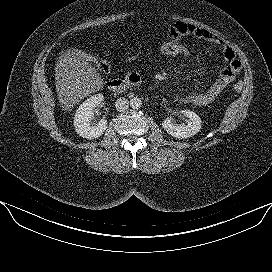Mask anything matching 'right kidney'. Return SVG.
Segmentation results:
<instances>
[{
    "label": "right kidney",
    "mask_w": 272,
    "mask_h": 272,
    "mask_svg": "<svg viewBox=\"0 0 272 272\" xmlns=\"http://www.w3.org/2000/svg\"><path fill=\"white\" fill-rule=\"evenodd\" d=\"M103 101L102 94H95L85 100L76 110L74 126L79 136L86 139H96L103 135L107 129V120L101 119L98 123L93 122L96 107Z\"/></svg>",
    "instance_id": "1"
}]
</instances>
